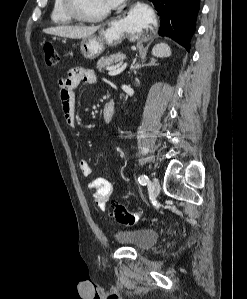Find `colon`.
<instances>
[{
    "instance_id": "colon-1",
    "label": "colon",
    "mask_w": 247,
    "mask_h": 299,
    "mask_svg": "<svg viewBox=\"0 0 247 299\" xmlns=\"http://www.w3.org/2000/svg\"><path fill=\"white\" fill-rule=\"evenodd\" d=\"M43 51L46 64L48 66H56L59 62V55L54 45L51 42H45ZM112 212L116 221L122 225H135L140 219L139 213L129 211L124 205L119 203L112 204Z\"/></svg>"
}]
</instances>
